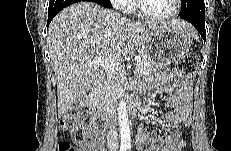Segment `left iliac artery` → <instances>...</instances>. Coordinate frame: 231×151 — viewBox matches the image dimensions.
<instances>
[{"label": "left iliac artery", "mask_w": 231, "mask_h": 151, "mask_svg": "<svg viewBox=\"0 0 231 151\" xmlns=\"http://www.w3.org/2000/svg\"><path fill=\"white\" fill-rule=\"evenodd\" d=\"M127 148H128V150H130V149H131V146H130V145H128V146H127Z\"/></svg>", "instance_id": "44dca946"}]
</instances>
